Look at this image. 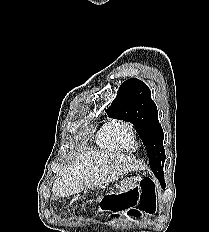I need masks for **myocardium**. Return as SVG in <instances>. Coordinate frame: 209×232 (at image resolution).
Returning <instances> with one entry per match:
<instances>
[{"label": "myocardium", "mask_w": 209, "mask_h": 232, "mask_svg": "<svg viewBox=\"0 0 209 232\" xmlns=\"http://www.w3.org/2000/svg\"><path fill=\"white\" fill-rule=\"evenodd\" d=\"M122 130H126L131 134L132 140L134 142V147L132 149L127 148L121 138H120V132ZM112 132H113V138L114 141L116 142V144L124 151H133L136 149L137 145H136V138H135V128L134 126L126 121H118L112 128Z\"/></svg>", "instance_id": "obj_1"}]
</instances>
